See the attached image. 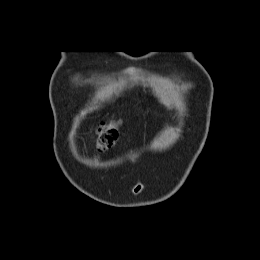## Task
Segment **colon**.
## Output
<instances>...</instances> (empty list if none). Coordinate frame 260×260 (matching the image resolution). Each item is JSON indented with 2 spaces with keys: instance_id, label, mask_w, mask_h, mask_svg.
Here are the masks:
<instances>
[{
  "instance_id": "colon-1",
  "label": "colon",
  "mask_w": 260,
  "mask_h": 260,
  "mask_svg": "<svg viewBox=\"0 0 260 260\" xmlns=\"http://www.w3.org/2000/svg\"><path fill=\"white\" fill-rule=\"evenodd\" d=\"M119 121L101 123L97 130V148L100 153L109 150L119 136Z\"/></svg>"
}]
</instances>
